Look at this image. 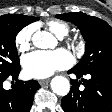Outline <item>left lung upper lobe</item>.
I'll use <instances>...</instances> for the list:
<instances>
[{"instance_id":"obj_1","label":"left lung upper lobe","mask_w":112,"mask_h":112,"mask_svg":"<svg viewBox=\"0 0 112 112\" xmlns=\"http://www.w3.org/2000/svg\"><path fill=\"white\" fill-rule=\"evenodd\" d=\"M56 17L75 24L86 41L85 55L74 69L87 72L112 65V27L107 22L82 12L60 14Z\"/></svg>"}]
</instances>
